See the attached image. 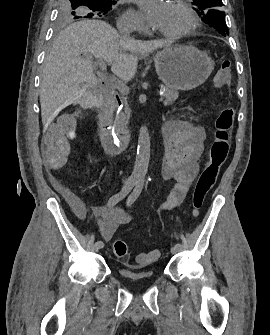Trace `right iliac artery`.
I'll return each mask as SVG.
<instances>
[{
	"instance_id": "1",
	"label": "right iliac artery",
	"mask_w": 270,
	"mask_h": 335,
	"mask_svg": "<svg viewBox=\"0 0 270 335\" xmlns=\"http://www.w3.org/2000/svg\"><path fill=\"white\" fill-rule=\"evenodd\" d=\"M136 180L135 179H129L126 183V185L122 188V190L113 195L107 202V207L109 209L113 208L119 201H121L122 199H124L129 192L133 189V187L136 184ZM96 244L98 245V247L101 249L104 247V243L102 241H97Z\"/></svg>"
}]
</instances>
